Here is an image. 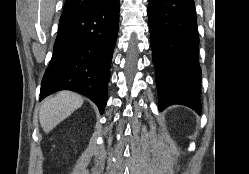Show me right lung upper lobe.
I'll return each mask as SVG.
<instances>
[{
	"label": "right lung upper lobe",
	"mask_w": 249,
	"mask_h": 174,
	"mask_svg": "<svg viewBox=\"0 0 249 174\" xmlns=\"http://www.w3.org/2000/svg\"><path fill=\"white\" fill-rule=\"evenodd\" d=\"M107 1L109 0H65V6L62 16H66L85 7L102 4Z\"/></svg>",
	"instance_id": "obj_1"
}]
</instances>
